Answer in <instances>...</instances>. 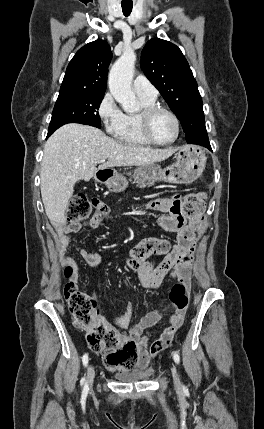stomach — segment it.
I'll list each match as a JSON object with an SVG mask.
<instances>
[{
	"label": "stomach",
	"instance_id": "1",
	"mask_svg": "<svg viewBox=\"0 0 264 429\" xmlns=\"http://www.w3.org/2000/svg\"><path fill=\"white\" fill-rule=\"evenodd\" d=\"M175 159V162L165 169L154 163L138 166L135 170V176L147 180L190 184L199 178L206 164V156L203 150L191 145L182 146L176 153ZM94 177L96 181L105 184L113 192H121L128 186L124 176L109 168L98 170Z\"/></svg>",
	"mask_w": 264,
	"mask_h": 429
}]
</instances>
